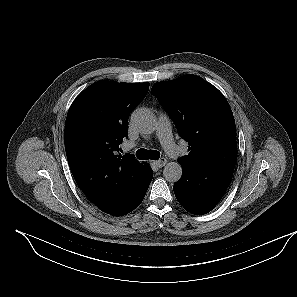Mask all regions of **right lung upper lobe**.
<instances>
[{
	"label": "right lung upper lobe",
	"mask_w": 297,
	"mask_h": 297,
	"mask_svg": "<svg viewBox=\"0 0 297 297\" xmlns=\"http://www.w3.org/2000/svg\"><path fill=\"white\" fill-rule=\"evenodd\" d=\"M149 83L98 81L72 103L65 123V150L73 177L100 210L119 208L148 174L132 154L118 155L128 137V118Z\"/></svg>",
	"instance_id": "1"
}]
</instances>
